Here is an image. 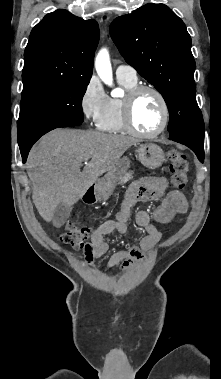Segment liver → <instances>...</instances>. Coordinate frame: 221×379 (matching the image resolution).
I'll list each match as a JSON object with an SVG mask.
<instances>
[{
	"label": "liver",
	"mask_w": 221,
	"mask_h": 379,
	"mask_svg": "<svg viewBox=\"0 0 221 379\" xmlns=\"http://www.w3.org/2000/svg\"><path fill=\"white\" fill-rule=\"evenodd\" d=\"M137 142L129 136L92 130L56 129L43 136L27 160L32 199L41 217L49 222L58 204L77 203ZM86 159L90 161L81 171Z\"/></svg>",
	"instance_id": "6515ba94"
}]
</instances>
